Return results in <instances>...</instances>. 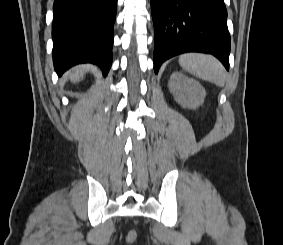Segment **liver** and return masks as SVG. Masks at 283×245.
Instances as JSON below:
<instances>
[{
    "mask_svg": "<svg viewBox=\"0 0 283 245\" xmlns=\"http://www.w3.org/2000/svg\"><path fill=\"white\" fill-rule=\"evenodd\" d=\"M87 69H88L87 66L75 67L69 72V78L73 83L79 82L83 78L84 72Z\"/></svg>",
    "mask_w": 283,
    "mask_h": 245,
    "instance_id": "6515ba94",
    "label": "liver"
}]
</instances>
